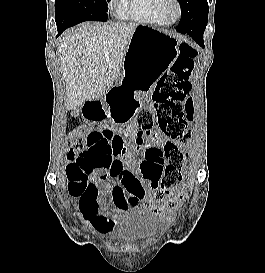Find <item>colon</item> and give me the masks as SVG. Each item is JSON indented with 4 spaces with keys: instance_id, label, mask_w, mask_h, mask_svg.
I'll use <instances>...</instances> for the list:
<instances>
[{
    "instance_id": "colon-1",
    "label": "colon",
    "mask_w": 265,
    "mask_h": 273,
    "mask_svg": "<svg viewBox=\"0 0 265 273\" xmlns=\"http://www.w3.org/2000/svg\"><path fill=\"white\" fill-rule=\"evenodd\" d=\"M197 50L183 44L179 55L170 69L159 79L153 93V107H144L137 114V124L141 128L135 140L136 150L146 144L145 138L157 125L163 137H156L149 151L159 159H166L162 168L152 175V187L155 199L172 208L181 198L175 192L182 180L185 152L188 147V124L194 118L192 100L187 99L191 84L189 79L194 68ZM118 135L108 130L76 129L73 132L67 158L71 162L66 166L69 179L68 190L72 196L81 193L95 195L96 186L89 182V176L95 171L109 169L112 162L113 140Z\"/></svg>"
}]
</instances>
